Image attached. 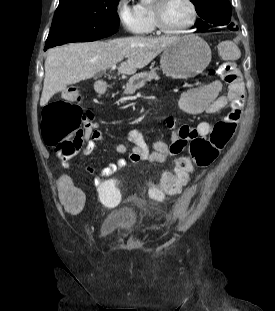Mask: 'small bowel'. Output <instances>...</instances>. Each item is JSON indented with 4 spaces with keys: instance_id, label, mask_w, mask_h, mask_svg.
I'll return each mask as SVG.
<instances>
[{
    "instance_id": "1",
    "label": "small bowel",
    "mask_w": 275,
    "mask_h": 311,
    "mask_svg": "<svg viewBox=\"0 0 275 311\" xmlns=\"http://www.w3.org/2000/svg\"><path fill=\"white\" fill-rule=\"evenodd\" d=\"M218 52L223 57L238 59L240 51L231 41H225L218 47ZM228 90L225 95H220L222 84L219 81H212L202 86L187 90L181 98L180 108L188 114H215L223 109H229V112H223V119H239L244 100V86L238 70L235 71L234 78L227 82ZM93 118L91 117L90 120ZM151 126H158V119L150 120ZM97 122L90 121L86 124V146L83 149L84 155H90L97 144L104 141L103 135L98 129ZM167 127L170 132L165 140H158L147 143L140 129H133L126 135L128 142L134 145V149L129 157L132 162L146 161L148 163H164L183 151L186 144L194 136L208 135L215 125L208 121H201L194 126L177 125L173 119L167 120ZM114 150L118 154L127 152L126 145L117 143ZM65 165H68L64 161ZM127 164L124 158H118L105 165L95 178V184L103 183V178H110L116 171L122 169ZM87 170L93 172L92 166L88 165ZM59 190H61L60 201L62 202V213L67 216H82L85 211L84 190L83 187H75L69 176H63L60 179Z\"/></svg>"
}]
</instances>
